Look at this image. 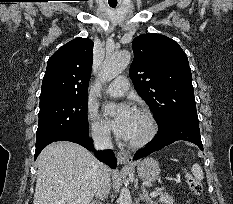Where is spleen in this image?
Instances as JSON below:
<instances>
[{
  "label": "spleen",
  "instance_id": "obj_1",
  "mask_svg": "<svg viewBox=\"0 0 233 204\" xmlns=\"http://www.w3.org/2000/svg\"><path fill=\"white\" fill-rule=\"evenodd\" d=\"M191 171L196 179H198V180L204 179V174H203L202 168L200 167L199 164H197V163L193 164Z\"/></svg>",
  "mask_w": 233,
  "mask_h": 204
}]
</instances>
